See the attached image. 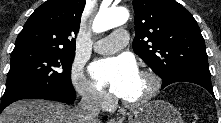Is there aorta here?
I'll return each instance as SVG.
<instances>
[{
	"label": "aorta",
	"instance_id": "aorta-1",
	"mask_svg": "<svg viewBox=\"0 0 221 123\" xmlns=\"http://www.w3.org/2000/svg\"><path fill=\"white\" fill-rule=\"evenodd\" d=\"M129 12L125 8H108L100 10L93 22V30L96 33H101L121 26L127 22Z\"/></svg>",
	"mask_w": 221,
	"mask_h": 123
}]
</instances>
